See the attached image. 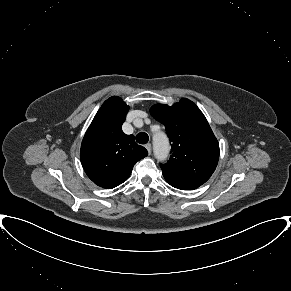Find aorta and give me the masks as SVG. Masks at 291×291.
Listing matches in <instances>:
<instances>
[{"label": "aorta", "mask_w": 291, "mask_h": 291, "mask_svg": "<svg viewBox=\"0 0 291 291\" xmlns=\"http://www.w3.org/2000/svg\"><path fill=\"white\" fill-rule=\"evenodd\" d=\"M153 151L158 161L167 159L170 152V145L165 133L159 131L153 135Z\"/></svg>", "instance_id": "762f6f07"}]
</instances>
